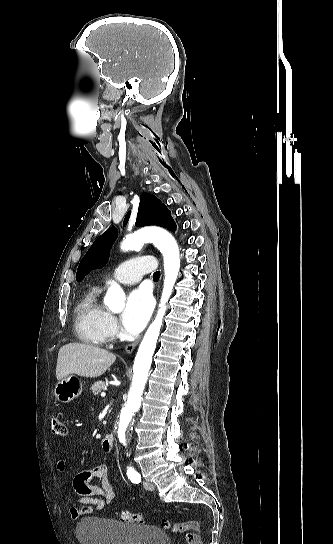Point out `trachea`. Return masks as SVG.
Wrapping results in <instances>:
<instances>
[{
    "mask_svg": "<svg viewBox=\"0 0 333 544\" xmlns=\"http://www.w3.org/2000/svg\"><path fill=\"white\" fill-rule=\"evenodd\" d=\"M159 275H160V272H159V271H156V272L153 274V279H154V280H158V279H159Z\"/></svg>",
    "mask_w": 333,
    "mask_h": 544,
    "instance_id": "trachea-1",
    "label": "trachea"
}]
</instances>
